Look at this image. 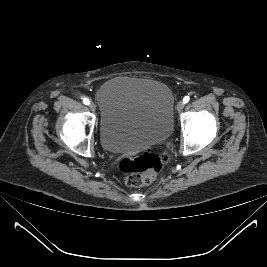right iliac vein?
I'll use <instances>...</instances> for the list:
<instances>
[{
	"label": "right iliac vein",
	"instance_id": "1",
	"mask_svg": "<svg viewBox=\"0 0 267 267\" xmlns=\"http://www.w3.org/2000/svg\"><path fill=\"white\" fill-rule=\"evenodd\" d=\"M89 107H90L91 111L95 112V110H96V104L94 102H91L89 104Z\"/></svg>",
	"mask_w": 267,
	"mask_h": 267
}]
</instances>
